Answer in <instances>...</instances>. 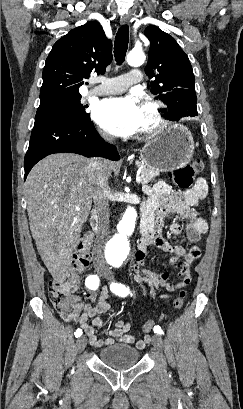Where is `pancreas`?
<instances>
[{"mask_svg":"<svg viewBox=\"0 0 243 409\" xmlns=\"http://www.w3.org/2000/svg\"><path fill=\"white\" fill-rule=\"evenodd\" d=\"M140 167V177L142 185L149 183L155 176L159 175V171L151 169L142 163H137Z\"/></svg>","mask_w":243,"mask_h":409,"instance_id":"cf45deb5","label":"pancreas"}]
</instances>
